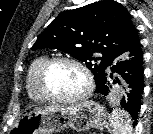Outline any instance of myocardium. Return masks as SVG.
<instances>
[{"label": "myocardium", "instance_id": "myocardium-1", "mask_svg": "<svg viewBox=\"0 0 153 134\" xmlns=\"http://www.w3.org/2000/svg\"><path fill=\"white\" fill-rule=\"evenodd\" d=\"M60 63L71 64L77 67L78 69H80L81 72L83 73L85 77V88L80 94L76 96H72V97H61L51 93L48 90L46 86V77H47L48 71L50 70L52 66L56 64H60ZM37 85H38L39 91L47 100L59 102V103L72 104V103L81 102L90 96V94L93 91L94 80H93V76L90 69L83 62L71 57H53V58L47 59L42 64L37 76Z\"/></svg>", "mask_w": 153, "mask_h": 134}]
</instances>
